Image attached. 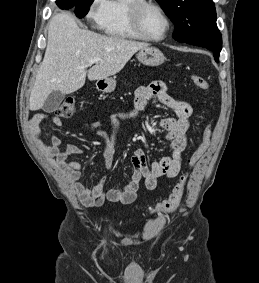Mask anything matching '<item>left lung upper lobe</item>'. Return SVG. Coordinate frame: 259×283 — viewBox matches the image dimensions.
I'll return each mask as SVG.
<instances>
[{
	"instance_id": "1",
	"label": "left lung upper lobe",
	"mask_w": 259,
	"mask_h": 283,
	"mask_svg": "<svg viewBox=\"0 0 259 283\" xmlns=\"http://www.w3.org/2000/svg\"><path fill=\"white\" fill-rule=\"evenodd\" d=\"M176 28L174 39L189 42L218 35L212 0H156Z\"/></svg>"
}]
</instances>
